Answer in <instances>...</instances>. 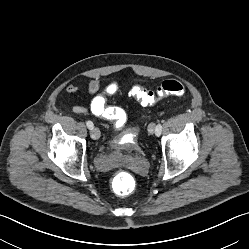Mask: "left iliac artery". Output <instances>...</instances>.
<instances>
[{"mask_svg":"<svg viewBox=\"0 0 249 249\" xmlns=\"http://www.w3.org/2000/svg\"><path fill=\"white\" fill-rule=\"evenodd\" d=\"M161 131H162V125H161V124H158V125L156 126V128H155V134H156L157 137L160 136Z\"/></svg>","mask_w":249,"mask_h":249,"instance_id":"44dca946","label":"left iliac artery"}]
</instances>
